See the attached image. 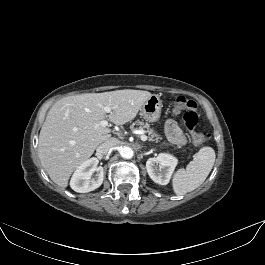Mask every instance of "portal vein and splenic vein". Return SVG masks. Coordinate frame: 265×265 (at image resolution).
Masks as SVG:
<instances>
[{
  "mask_svg": "<svg viewBox=\"0 0 265 265\" xmlns=\"http://www.w3.org/2000/svg\"><path fill=\"white\" fill-rule=\"evenodd\" d=\"M104 111L106 113H110L112 111V108L109 107V106H106V107H104ZM99 125L102 126V127H106V126H108V121L102 120V121H100ZM140 138H141L142 141H146L147 140V136L145 135L144 131L141 133V137Z\"/></svg>",
  "mask_w": 265,
  "mask_h": 265,
  "instance_id": "18ae733b",
  "label": "portal vein and splenic vein"
}]
</instances>
